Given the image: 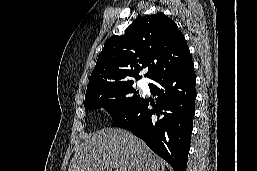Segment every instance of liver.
I'll list each match as a JSON object with an SVG mask.
<instances>
[{
  "instance_id": "liver-1",
  "label": "liver",
  "mask_w": 257,
  "mask_h": 171,
  "mask_svg": "<svg viewBox=\"0 0 257 171\" xmlns=\"http://www.w3.org/2000/svg\"><path fill=\"white\" fill-rule=\"evenodd\" d=\"M68 171H165V163L133 134L107 128L85 136Z\"/></svg>"
}]
</instances>
